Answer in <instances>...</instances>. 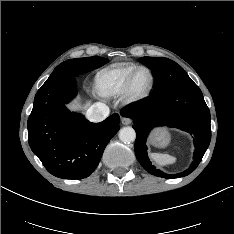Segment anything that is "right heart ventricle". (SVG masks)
Instances as JSON below:
<instances>
[{
    "label": "right heart ventricle",
    "instance_id": "right-heart-ventricle-1",
    "mask_svg": "<svg viewBox=\"0 0 234 234\" xmlns=\"http://www.w3.org/2000/svg\"><path fill=\"white\" fill-rule=\"evenodd\" d=\"M137 67L132 63H120L102 69L95 78L98 93L103 97L119 96L127 78Z\"/></svg>",
    "mask_w": 234,
    "mask_h": 234
}]
</instances>
